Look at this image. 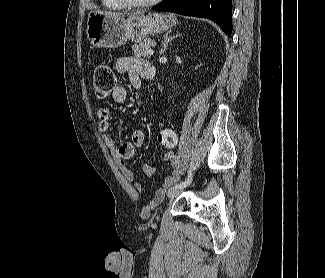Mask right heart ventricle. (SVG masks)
<instances>
[{"mask_svg": "<svg viewBox=\"0 0 325 278\" xmlns=\"http://www.w3.org/2000/svg\"><path fill=\"white\" fill-rule=\"evenodd\" d=\"M101 4L108 10H122L126 7L118 0H101Z\"/></svg>", "mask_w": 325, "mask_h": 278, "instance_id": "1", "label": "right heart ventricle"}]
</instances>
